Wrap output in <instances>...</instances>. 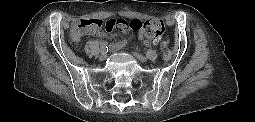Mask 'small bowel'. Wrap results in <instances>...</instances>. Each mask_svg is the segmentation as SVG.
<instances>
[{"label": "small bowel", "mask_w": 255, "mask_h": 122, "mask_svg": "<svg viewBox=\"0 0 255 122\" xmlns=\"http://www.w3.org/2000/svg\"><path fill=\"white\" fill-rule=\"evenodd\" d=\"M121 31H125L126 29L125 28H122V29H119ZM88 32H92L94 35L96 36H99V37H107L109 35V32L110 31H88ZM139 38L140 39H143L145 38V44H149L150 42H153L154 44L158 43L159 41V38H150V37H147L142 31H140L139 33ZM126 43L124 41H118V42H115L113 44H111V49L113 51H119L121 49H123L125 47Z\"/></svg>", "instance_id": "obj_1"}]
</instances>
